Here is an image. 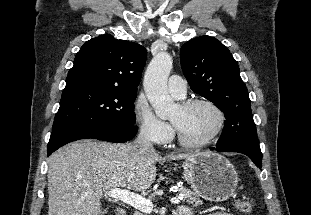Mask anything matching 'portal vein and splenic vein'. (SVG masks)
<instances>
[{
	"mask_svg": "<svg viewBox=\"0 0 311 215\" xmlns=\"http://www.w3.org/2000/svg\"><path fill=\"white\" fill-rule=\"evenodd\" d=\"M106 195L110 198L120 200L144 213H151L153 210V204L149 199H145L144 197L132 193L129 190L111 189L106 192ZM182 198V195L181 197H174L171 198L170 202L172 204H179Z\"/></svg>",
	"mask_w": 311,
	"mask_h": 215,
	"instance_id": "portal-vein-and-splenic-vein-1",
	"label": "portal vein and splenic vein"
}]
</instances>
